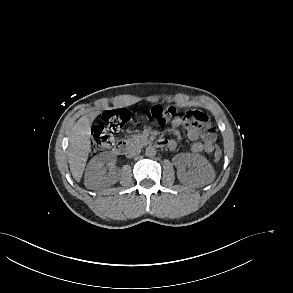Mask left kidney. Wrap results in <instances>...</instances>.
Instances as JSON below:
<instances>
[{"instance_id": "obj_1", "label": "left kidney", "mask_w": 293, "mask_h": 293, "mask_svg": "<svg viewBox=\"0 0 293 293\" xmlns=\"http://www.w3.org/2000/svg\"><path fill=\"white\" fill-rule=\"evenodd\" d=\"M179 157L185 164H192L195 168L192 172H187L183 168L178 170L177 177L181 183L205 186L213 180V167L205 157L191 153H181Z\"/></svg>"}]
</instances>
